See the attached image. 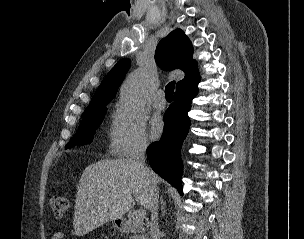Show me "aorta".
<instances>
[{"mask_svg": "<svg viewBox=\"0 0 304 239\" xmlns=\"http://www.w3.org/2000/svg\"><path fill=\"white\" fill-rule=\"evenodd\" d=\"M147 78L142 72L129 76L121 88V103L125 107L141 111L146 102Z\"/></svg>", "mask_w": 304, "mask_h": 239, "instance_id": "762f6f07", "label": "aorta"}]
</instances>
